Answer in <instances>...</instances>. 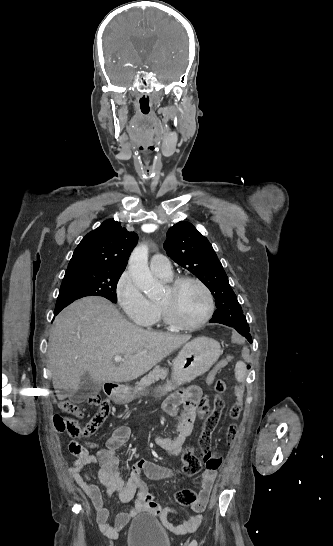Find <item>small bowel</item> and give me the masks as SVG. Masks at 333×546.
Segmentation results:
<instances>
[{
	"label": "small bowel",
	"mask_w": 333,
	"mask_h": 546,
	"mask_svg": "<svg viewBox=\"0 0 333 546\" xmlns=\"http://www.w3.org/2000/svg\"><path fill=\"white\" fill-rule=\"evenodd\" d=\"M232 340L236 348H241L243 360H250V348L244 346V338L240 332L232 333ZM233 354H226L212 363L209 372L210 380L205 381L206 387H212L216 379L214 374L226 372L228 365L233 361ZM201 399V390L197 386H190L170 395L164 402V409L170 415H175L180 405L183 410L179 415L176 425L177 436L174 439L156 437L154 442L169 456L177 457L183 451L187 439L193 431V423L196 414V406ZM130 435L126 427H119L106 440L104 447H100L93 442L80 443L71 440L68 443V451L75 457L69 472L75 482L89 497L96 515V521L101 532L109 538L117 536L118 531L122 529L128 521L145 511L154 514L163 526L174 534H187L195 531L202 523L203 511L209 501L212 486L216 479V471L204 470L201 474L199 497L193 505L195 514L182 519L180 523L174 524L169 519V514L176 513L172 506L164 508L153 500L149 493L148 486L142 477V473L152 479H162L171 476V471L165 467L154 464L149 461L139 460L132 467L128 476L122 473V467L115 455V451L122 446ZM96 449V453L90 450ZM98 465L99 479L104 486L107 495L116 498L122 503H131L127 510L117 513L114 521L109 522V510L104 506V501L100 489L93 483L87 468Z\"/></svg>",
	"instance_id": "1"
}]
</instances>
